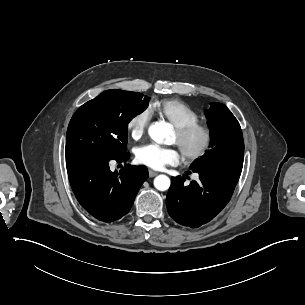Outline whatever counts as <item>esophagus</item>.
<instances>
[{"mask_svg":"<svg viewBox=\"0 0 305 305\" xmlns=\"http://www.w3.org/2000/svg\"><path fill=\"white\" fill-rule=\"evenodd\" d=\"M157 174V172L149 170V177H155Z\"/></svg>","mask_w":305,"mask_h":305,"instance_id":"esophagus-1","label":"esophagus"}]
</instances>
